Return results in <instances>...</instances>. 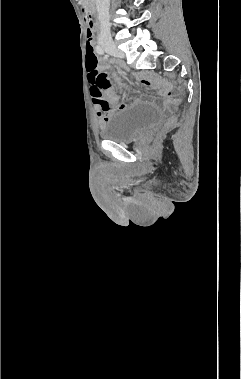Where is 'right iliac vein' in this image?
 I'll list each match as a JSON object with an SVG mask.
<instances>
[{
	"label": "right iliac vein",
	"instance_id": "obj_1",
	"mask_svg": "<svg viewBox=\"0 0 241 379\" xmlns=\"http://www.w3.org/2000/svg\"><path fill=\"white\" fill-rule=\"evenodd\" d=\"M102 46L111 55H114V56H117V57H123L124 56V54L112 42L103 43Z\"/></svg>",
	"mask_w": 241,
	"mask_h": 379
}]
</instances>
